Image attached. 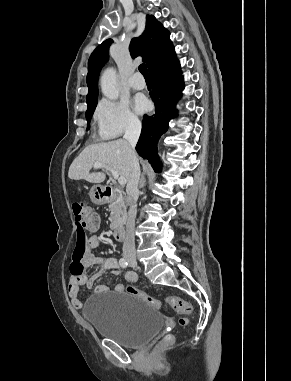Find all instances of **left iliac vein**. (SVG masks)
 <instances>
[{
    "label": "left iliac vein",
    "mask_w": 291,
    "mask_h": 381,
    "mask_svg": "<svg viewBox=\"0 0 291 381\" xmlns=\"http://www.w3.org/2000/svg\"><path fill=\"white\" fill-rule=\"evenodd\" d=\"M130 266H131V267H136V266H137L136 261H135V262H130Z\"/></svg>",
    "instance_id": "4c4485c4"
}]
</instances>
